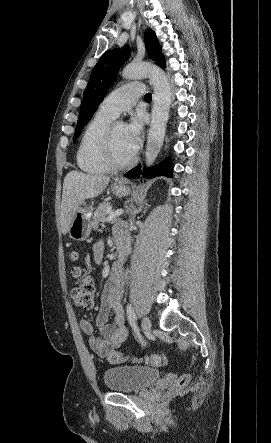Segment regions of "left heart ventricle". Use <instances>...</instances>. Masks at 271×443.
Instances as JSON below:
<instances>
[{
    "mask_svg": "<svg viewBox=\"0 0 271 443\" xmlns=\"http://www.w3.org/2000/svg\"><path fill=\"white\" fill-rule=\"evenodd\" d=\"M114 148L120 160L130 159L134 153L130 150L125 139V125L116 123L114 128Z\"/></svg>",
    "mask_w": 271,
    "mask_h": 443,
    "instance_id": "obj_1",
    "label": "left heart ventricle"
}]
</instances>
